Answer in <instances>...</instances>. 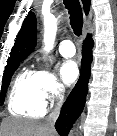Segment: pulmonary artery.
<instances>
[{"mask_svg": "<svg viewBox=\"0 0 117 136\" xmlns=\"http://www.w3.org/2000/svg\"><path fill=\"white\" fill-rule=\"evenodd\" d=\"M59 52L63 57L69 58L75 55V46L74 43L69 40L65 39L60 43Z\"/></svg>", "mask_w": 117, "mask_h": 136, "instance_id": "pulmonary-artery-1", "label": "pulmonary artery"}]
</instances>
